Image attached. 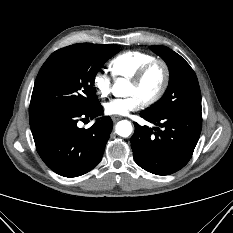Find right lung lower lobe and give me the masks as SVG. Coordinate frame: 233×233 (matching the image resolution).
<instances>
[{
	"mask_svg": "<svg viewBox=\"0 0 233 233\" xmlns=\"http://www.w3.org/2000/svg\"><path fill=\"white\" fill-rule=\"evenodd\" d=\"M99 101L90 109L49 112L29 117L36 149L44 163L64 177L81 176L99 164L112 131L110 117H100L89 129L77 126L82 117L101 115Z\"/></svg>",
	"mask_w": 233,
	"mask_h": 233,
	"instance_id": "1",
	"label": "right lung lower lobe"
}]
</instances>
